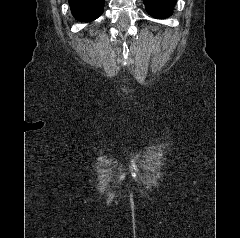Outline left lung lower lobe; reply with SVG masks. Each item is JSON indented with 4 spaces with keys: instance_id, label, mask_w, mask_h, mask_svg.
I'll return each instance as SVG.
<instances>
[{
    "instance_id": "obj_1",
    "label": "left lung lower lobe",
    "mask_w": 240,
    "mask_h": 238,
    "mask_svg": "<svg viewBox=\"0 0 240 238\" xmlns=\"http://www.w3.org/2000/svg\"><path fill=\"white\" fill-rule=\"evenodd\" d=\"M147 12L154 18H166L173 13L177 0H143Z\"/></svg>"
}]
</instances>
